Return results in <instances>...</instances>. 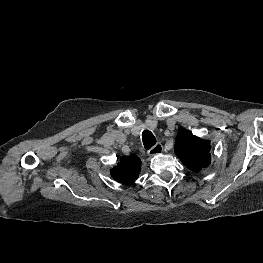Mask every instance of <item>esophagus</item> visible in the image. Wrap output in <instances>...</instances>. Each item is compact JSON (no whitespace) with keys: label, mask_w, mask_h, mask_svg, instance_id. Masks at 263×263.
Masks as SVG:
<instances>
[{"label":"esophagus","mask_w":263,"mask_h":263,"mask_svg":"<svg viewBox=\"0 0 263 263\" xmlns=\"http://www.w3.org/2000/svg\"><path fill=\"white\" fill-rule=\"evenodd\" d=\"M163 151V146L161 143H157L155 146H153L149 151V156H155L157 154H160Z\"/></svg>","instance_id":"esophagus-1"}]
</instances>
